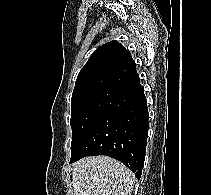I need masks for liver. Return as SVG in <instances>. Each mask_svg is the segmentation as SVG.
Here are the masks:
<instances>
[{
    "mask_svg": "<svg viewBox=\"0 0 211 195\" xmlns=\"http://www.w3.org/2000/svg\"><path fill=\"white\" fill-rule=\"evenodd\" d=\"M74 195H131L133 173L109 156L86 157L72 170Z\"/></svg>",
    "mask_w": 211,
    "mask_h": 195,
    "instance_id": "obj_1",
    "label": "liver"
}]
</instances>
